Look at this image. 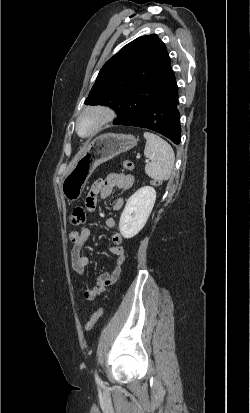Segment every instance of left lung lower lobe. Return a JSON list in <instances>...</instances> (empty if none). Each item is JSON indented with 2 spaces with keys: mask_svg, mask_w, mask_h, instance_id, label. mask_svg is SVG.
<instances>
[{
  "mask_svg": "<svg viewBox=\"0 0 250 413\" xmlns=\"http://www.w3.org/2000/svg\"><path fill=\"white\" fill-rule=\"evenodd\" d=\"M178 104V87L170 65L163 77L138 87L118 109V117L113 124L147 128L179 144L181 127Z\"/></svg>",
  "mask_w": 250,
  "mask_h": 413,
  "instance_id": "0a47b994",
  "label": "left lung lower lobe"
}]
</instances>
